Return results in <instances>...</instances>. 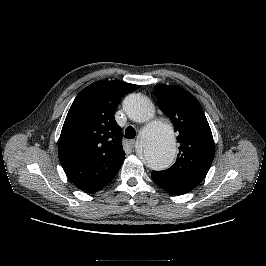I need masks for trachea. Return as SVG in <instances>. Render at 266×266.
<instances>
[{
    "label": "trachea",
    "mask_w": 266,
    "mask_h": 266,
    "mask_svg": "<svg viewBox=\"0 0 266 266\" xmlns=\"http://www.w3.org/2000/svg\"><path fill=\"white\" fill-rule=\"evenodd\" d=\"M125 135L129 139H133L136 136V131L132 126H129L125 129Z\"/></svg>",
    "instance_id": "obj_1"
}]
</instances>
